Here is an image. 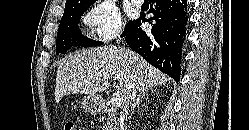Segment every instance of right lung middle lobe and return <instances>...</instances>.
I'll list each match as a JSON object with an SVG mask.
<instances>
[{
    "instance_id": "dd1d6c3e",
    "label": "right lung middle lobe",
    "mask_w": 249,
    "mask_h": 130,
    "mask_svg": "<svg viewBox=\"0 0 249 130\" xmlns=\"http://www.w3.org/2000/svg\"><path fill=\"white\" fill-rule=\"evenodd\" d=\"M90 6L82 8L65 7L63 17L61 18L60 26L58 29L56 40V53H64L72 46L93 47L103 44L100 41L88 39L81 34L78 28L79 21L83 13ZM133 21L130 20L125 27L121 37L124 36L132 25Z\"/></svg>"
}]
</instances>
